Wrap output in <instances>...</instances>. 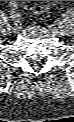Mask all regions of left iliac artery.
<instances>
[{
    "label": "left iliac artery",
    "mask_w": 74,
    "mask_h": 122,
    "mask_svg": "<svg viewBox=\"0 0 74 122\" xmlns=\"http://www.w3.org/2000/svg\"><path fill=\"white\" fill-rule=\"evenodd\" d=\"M64 22H65V20L59 23L60 27L64 26V24H65Z\"/></svg>",
    "instance_id": "1"
}]
</instances>
